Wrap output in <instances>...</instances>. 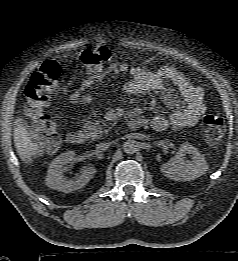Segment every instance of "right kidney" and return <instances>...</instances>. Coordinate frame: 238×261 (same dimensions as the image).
<instances>
[{
    "instance_id": "obj_1",
    "label": "right kidney",
    "mask_w": 238,
    "mask_h": 261,
    "mask_svg": "<svg viewBox=\"0 0 238 261\" xmlns=\"http://www.w3.org/2000/svg\"><path fill=\"white\" fill-rule=\"evenodd\" d=\"M75 155L74 151H67L51 162L45 180L49 188L70 193L84 187L93 178L96 171L92 166L82 169L75 180H67L63 176V173L67 170L66 165L74 161Z\"/></svg>"
}]
</instances>
